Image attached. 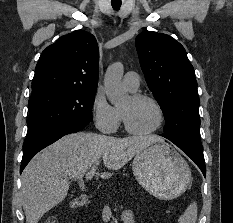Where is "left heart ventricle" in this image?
I'll list each match as a JSON object with an SVG mask.
<instances>
[{
  "label": "left heart ventricle",
  "instance_id": "b2bd125f",
  "mask_svg": "<svg viewBox=\"0 0 233 223\" xmlns=\"http://www.w3.org/2000/svg\"><path fill=\"white\" fill-rule=\"evenodd\" d=\"M130 127L137 132H148L159 124L156 107L149 101H134L130 97L121 106Z\"/></svg>",
  "mask_w": 233,
  "mask_h": 223
}]
</instances>
